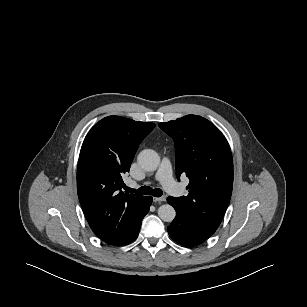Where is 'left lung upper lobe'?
Segmentation results:
<instances>
[{
    "instance_id": "1",
    "label": "left lung upper lobe",
    "mask_w": 307,
    "mask_h": 307,
    "mask_svg": "<svg viewBox=\"0 0 307 307\" xmlns=\"http://www.w3.org/2000/svg\"><path fill=\"white\" fill-rule=\"evenodd\" d=\"M175 142V165L190 179L187 196L173 197L175 204L196 224L215 232L232 194L233 161L229 144L207 119L186 115L159 123Z\"/></svg>"
}]
</instances>
